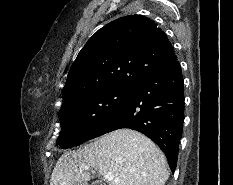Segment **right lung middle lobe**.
Wrapping results in <instances>:
<instances>
[{"mask_svg":"<svg viewBox=\"0 0 233 185\" xmlns=\"http://www.w3.org/2000/svg\"><path fill=\"white\" fill-rule=\"evenodd\" d=\"M129 89H105L79 97L61 108V132L57 145L66 149L80 145L126 99Z\"/></svg>","mask_w":233,"mask_h":185,"instance_id":"obj_1","label":"right lung middle lobe"}]
</instances>
